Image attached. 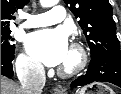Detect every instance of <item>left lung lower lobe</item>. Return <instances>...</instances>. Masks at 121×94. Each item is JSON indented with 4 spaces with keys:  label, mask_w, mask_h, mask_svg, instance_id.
<instances>
[{
    "label": "left lung lower lobe",
    "mask_w": 121,
    "mask_h": 94,
    "mask_svg": "<svg viewBox=\"0 0 121 94\" xmlns=\"http://www.w3.org/2000/svg\"><path fill=\"white\" fill-rule=\"evenodd\" d=\"M95 81L110 82L121 87V55L92 58L87 73L74 80L70 87L83 86Z\"/></svg>",
    "instance_id": "0a47b994"
}]
</instances>
